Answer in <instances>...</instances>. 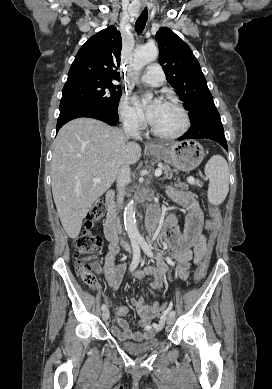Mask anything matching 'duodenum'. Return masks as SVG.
Wrapping results in <instances>:
<instances>
[{
    "label": "duodenum",
    "mask_w": 272,
    "mask_h": 389,
    "mask_svg": "<svg viewBox=\"0 0 272 389\" xmlns=\"http://www.w3.org/2000/svg\"><path fill=\"white\" fill-rule=\"evenodd\" d=\"M115 191L109 190L105 194V201L109 208V215L104 224V234L108 241L117 243L118 237V220L114 211ZM149 227L152 231L158 227V215L151 213L148 219Z\"/></svg>",
    "instance_id": "1"
}]
</instances>
